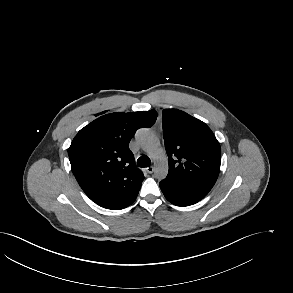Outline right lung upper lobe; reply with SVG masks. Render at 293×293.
Here are the masks:
<instances>
[{
	"label": "right lung upper lobe",
	"instance_id": "right-lung-upper-lobe-1",
	"mask_svg": "<svg viewBox=\"0 0 293 293\" xmlns=\"http://www.w3.org/2000/svg\"><path fill=\"white\" fill-rule=\"evenodd\" d=\"M155 110L110 113L82 128L68 149L72 172L85 194L101 207L120 210L131 205L141 188L129 142L137 129L151 127Z\"/></svg>",
	"mask_w": 293,
	"mask_h": 293
}]
</instances>
